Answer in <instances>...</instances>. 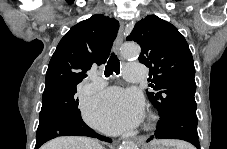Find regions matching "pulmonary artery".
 Returning <instances> with one entry per match:
<instances>
[{
	"label": "pulmonary artery",
	"mask_w": 227,
	"mask_h": 149,
	"mask_svg": "<svg viewBox=\"0 0 227 149\" xmlns=\"http://www.w3.org/2000/svg\"><path fill=\"white\" fill-rule=\"evenodd\" d=\"M146 76V68L142 64L138 63H129L125 66V77L126 80L129 82H142L145 79ZM91 84L88 86V90L93 91L102 88L106 81L98 77L96 75H93L90 77Z\"/></svg>",
	"instance_id": "pulmonary-artery-1"
}]
</instances>
